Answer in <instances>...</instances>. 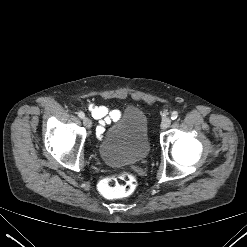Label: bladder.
Wrapping results in <instances>:
<instances>
[{
  "mask_svg": "<svg viewBox=\"0 0 247 247\" xmlns=\"http://www.w3.org/2000/svg\"><path fill=\"white\" fill-rule=\"evenodd\" d=\"M102 161L113 167L145 160L150 152L148 118L139 108L127 107L99 144Z\"/></svg>",
  "mask_w": 247,
  "mask_h": 247,
  "instance_id": "obj_1",
  "label": "bladder"
}]
</instances>
